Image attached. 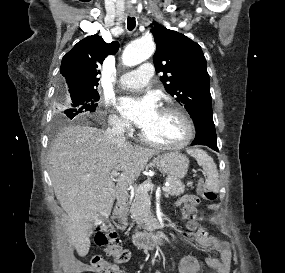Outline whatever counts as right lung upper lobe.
Wrapping results in <instances>:
<instances>
[{
  "label": "right lung upper lobe",
  "instance_id": "obj_1",
  "mask_svg": "<svg viewBox=\"0 0 285 273\" xmlns=\"http://www.w3.org/2000/svg\"><path fill=\"white\" fill-rule=\"evenodd\" d=\"M119 44L104 42L98 34L79 41L62 59L60 73L67 92L96 90L99 67L109 54H115Z\"/></svg>",
  "mask_w": 285,
  "mask_h": 273
}]
</instances>
